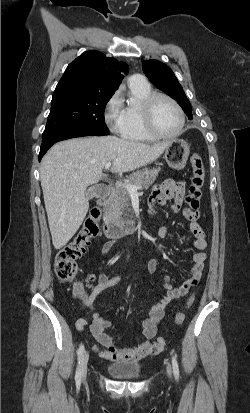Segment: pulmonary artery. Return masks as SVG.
<instances>
[{
	"mask_svg": "<svg viewBox=\"0 0 250 413\" xmlns=\"http://www.w3.org/2000/svg\"><path fill=\"white\" fill-rule=\"evenodd\" d=\"M129 82H130V83H143V82H145V79H144L143 76H141V75H139V74H135V75H132V76L129 78Z\"/></svg>",
	"mask_w": 250,
	"mask_h": 413,
	"instance_id": "obj_1",
	"label": "pulmonary artery"
}]
</instances>
